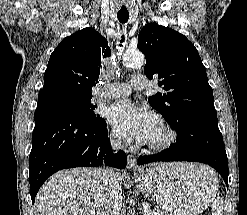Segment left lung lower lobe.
Returning a JSON list of instances; mask_svg holds the SVG:
<instances>
[{
    "instance_id": "1",
    "label": "left lung lower lobe",
    "mask_w": 247,
    "mask_h": 215,
    "mask_svg": "<svg viewBox=\"0 0 247 215\" xmlns=\"http://www.w3.org/2000/svg\"><path fill=\"white\" fill-rule=\"evenodd\" d=\"M158 161L201 162L216 169L228 187V159L218 123L199 122L177 132L176 142L161 153L140 156L138 165Z\"/></svg>"
}]
</instances>
